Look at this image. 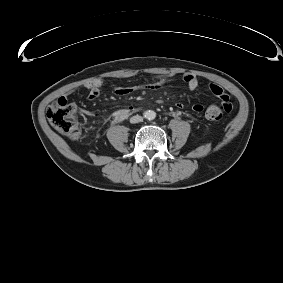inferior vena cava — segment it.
I'll return each instance as SVG.
<instances>
[{
  "label": "inferior vena cava",
  "instance_id": "1",
  "mask_svg": "<svg viewBox=\"0 0 283 283\" xmlns=\"http://www.w3.org/2000/svg\"><path fill=\"white\" fill-rule=\"evenodd\" d=\"M142 121H143V117L139 116V115L133 116L130 119L131 123H138V122H142Z\"/></svg>",
  "mask_w": 283,
  "mask_h": 283
}]
</instances>
